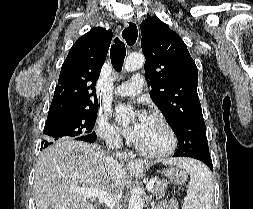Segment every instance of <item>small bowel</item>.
Instances as JSON below:
<instances>
[{"instance_id": "obj_1", "label": "small bowel", "mask_w": 253, "mask_h": 209, "mask_svg": "<svg viewBox=\"0 0 253 209\" xmlns=\"http://www.w3.org/2000/svg\"><path fill=\"white\" fill-rule=\"evenodd\" d=\"M158 209H178V205L175 200H170L166 204L161 205Z\"/></svg>"}]
</instances>
